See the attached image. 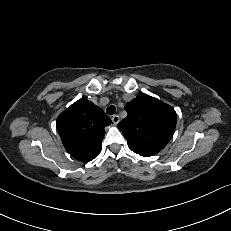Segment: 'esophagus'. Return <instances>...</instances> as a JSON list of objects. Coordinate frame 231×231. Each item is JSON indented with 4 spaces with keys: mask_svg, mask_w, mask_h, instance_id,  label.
Instances as JSON below:
<instances>
[{
    "mask_svg": "<svg viewBox=\"0 0 231 231\" xmlns=\"http://www.w3.org/2000/svg\"><path fill=\"white\" fill-rule=\"evenodd\" d=\"M111 120H112V122H113L114 124H118L119 121H120V118H119L118 115H113V116L111 117Z\"/></svg>",
    "mask_w": 231,
    "mask_h": 231,
    "instance_id": "esophagus-1",
    "label": "esophagus"
}]
</instances>
